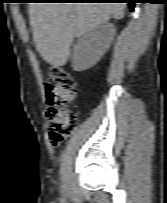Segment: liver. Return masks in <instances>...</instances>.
<instances>
[{"label":"liver","instance_id":"6515ba94","mask_svg":"<svg viewBox=\"0 0 167 203\" xmlns=\"http://www.w3.org/2000/svg\"><path fill=\"white\" fill-rule=\"evenodd\" d=\"M123 3H30V24L41 57L53 67L67 63L73 39L111 17L122 19Z\"/></svg>","mask_w":167,"mask_h":203}]
</instances>
